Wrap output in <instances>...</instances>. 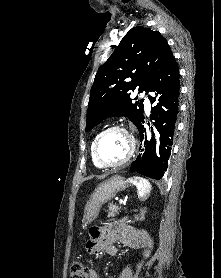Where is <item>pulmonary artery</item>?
Here are the masks:
<instances>
[{
  "label": "pulmonary artery",
  "instance_id": "e3ab8cb5",
  "mask_svg": "<svg viewBox=\"0 0 221 278\" xmlns=\"http://www.w3.org/2000/svg\"><path fill=\"white\" fill-rule=\"evenodd\" d=\"M144 105H145V110L148 112L150 110V101L147 97H145Z\"/></svg>",
  "mask_w": 221,
  "mask_h": 278
}]
</instances>
